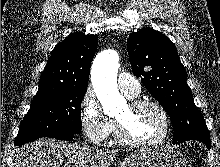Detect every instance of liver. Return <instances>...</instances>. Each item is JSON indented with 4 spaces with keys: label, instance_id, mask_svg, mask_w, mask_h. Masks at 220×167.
Here are the masks:
<instances>
[{
    "label": "liver",
    "instance_id": "6515ba94",
    "mask_svg": "<svg viewBox=\"0 0 220 167\" xmlns=\"http://www.w3.org/2000/svg\"><path fill=\"white\" fill-rule=\"evenodd\" d=\"M116 150L40 139L14 150V167H110Z\"/></svg>",
    "mask_w": 220,
    "mask_h": 167
}]
</instances>
